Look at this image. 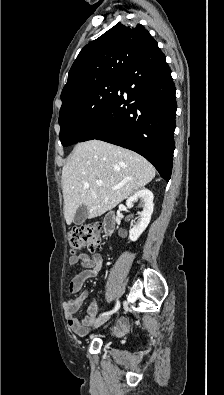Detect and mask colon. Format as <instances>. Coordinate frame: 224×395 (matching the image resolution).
<instances>
[{
    "label": "colon",
    "instance_id": "5ec220e1",
    "mask_svg": "<svg viewBox=\"0 0 224 395\" xmlns=\"http://www.w3.org/2000/svg\"><path fill=\"white\" fill-rule=\"evenodd\" d=\"M67 241L73 252L84 247L94 249L100 244L99 227H79L73 229L68 233Z\"/></svg>",
    "mask_w": 224,
    "mask_h": 395
}]
</instances>
